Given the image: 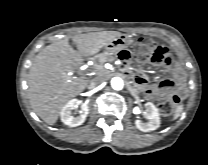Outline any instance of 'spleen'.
Returning <instances> with one entry per match:
<instances>
[{
    "label": "spleen",
    "mask_w": 208,
    "mask_h": 165,
    "mask_svg": "<svg viewBox=\"0 0 208 165\" xmlns=\"http://www.w3.org/2000/svg\"><path fill=\"white\" fill-rule=\"evenodd\" d=\"M183 111V105H178L173 115V120H176Z\"/></svg>",
    "instance_id": "1"
}]
</instances>
